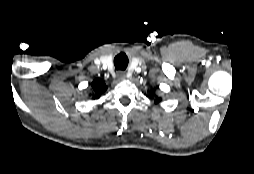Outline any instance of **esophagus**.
<instances>
[{
    "mask_svg": "<svg viewBox=\"0 0 254 174\" xmlns=\"http://www.w3.org/2000/svg\"><path fill=\"white\" fill-rule=\"evenodd\" d=\"M117 77L120 78V79H124L126 77V74L124 72H122V71H119L117 73Z\"/></svg>",
    "mask_w": 254,
    "mask_h": 174,
    "instance_id": "34e87169",
    "label": "esophagus"
}]
</instances>
